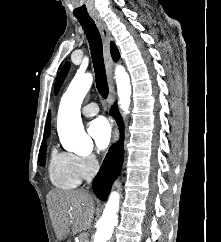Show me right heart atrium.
Returning a JSON list of instances; mask_svg holds the SVG:
<instances>
[{"label":"right heart atrium","instance_id":"d8ad5b80","mask_svg":"<svg viewBox=\"0 0 221 242\" xmlns=\"http://www.w3.org/2000/svg\"><path fill=\"white\" fill-rule=\"evenodd\" d=\"M74 163L80 179L90 177L99 168V160L94 154L74 155Z\"/></svg>","mask_w":221,"mask_h":242}]
</instances>
